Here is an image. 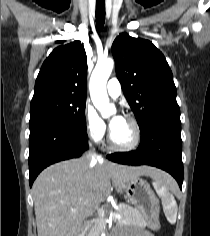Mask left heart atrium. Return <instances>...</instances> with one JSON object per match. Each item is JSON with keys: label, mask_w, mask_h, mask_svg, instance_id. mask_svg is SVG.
Segmentation results:
<instances>
[{"label": "left heart atrium", "mask_w": 210, "mask_h": 236, "mask_svg": "<svg viewBox=\"0 0 210 236\" xmlns=\"http://www.w3.org/2000/svg\"><path fill=\"white\" fill-rule=\"evenodd\" d=\"M123 119L124 118L120 114L114 115L109 121L110 129L113 130L114 128H116Z\"/></svg>", "instance_id": "39dd6f15"}]
</instances>
